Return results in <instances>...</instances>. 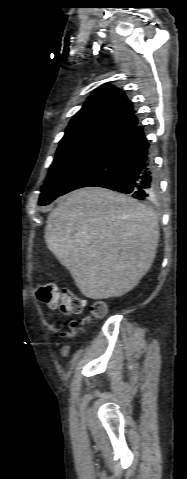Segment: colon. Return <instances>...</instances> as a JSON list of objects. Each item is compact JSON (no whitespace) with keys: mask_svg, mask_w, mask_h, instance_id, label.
<instances>
[{"mask_svg":"<svg viewBox=\"0 0 187 479\" xmlns=\"http://www.w3.org/2000/svg\"><path fill=\"white\" fill-rule=\"evenodd\" d=\"M37 298L50 308H57L65 315H78L84 310L85 302L77 297L69 288L58 289L52 283L38 284L35 287ZM91 317L80 322L72 321L67 335H74L84 326L88 325L93 318H101L106 313V305L103 301H96L90 308Z\"/></svg>","mask_w":187,"mask_h":479,"instance_id":"obj_1","label":"colon"}]
</instances>
